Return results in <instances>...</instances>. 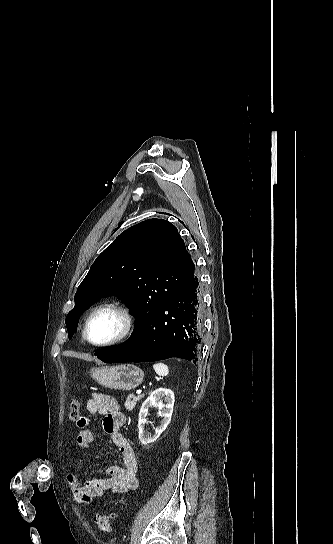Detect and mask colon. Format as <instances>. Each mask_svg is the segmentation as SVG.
Wrapping results in <instances>:
<instances>
[{
  "instance_id": "1",
  "label": "colon",
  "mask_w": 333,
  "mask_h": 544,
  "mask_svg": "<svg viewBox=\"0 0 333 544\" xmlns=\"http://www.w3.org/2000/svg\"><path fill=\"white\" fill-rule=\"evenodd\" d=\"M80 409H81V402L78 399L73 400L70 404L69 414H68V418L70 421L77 422L79 420ZM112 517H113V514L108 511H105L96 515L94 519L95 524L102 533H108L111 530Z\"/></svg>"
}]
</instances>
